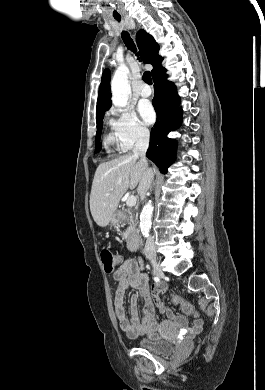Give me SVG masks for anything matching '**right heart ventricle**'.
Instances as JSON below:
<instances>
[{"mask_svg": "<svg viewBox=\"0 0 265 390\" xmlns=\"http://www.w3.org/2000/svg\"><path fill=\"white\" fill-rule=\"evenodd\" d=\"M104 142L107 148H112L117 143L113 133L106 134Z\"/></svg>", "mask_w": 265, "mask_h": 390, "instance_id": "e07e8e85", "label": "right heart ventricle"}]
</instances>
